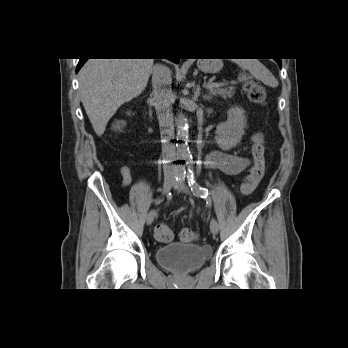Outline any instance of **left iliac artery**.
I'll return each mask as SVG.
<instances>
[{
    "label": "left iliac artery",
    "mask_w": 348,
    "mask_h": 348,
    "mask_svg": "<svg viewBox=\"0 0 348 348\" xmlns=\"http://www.w3.org/2000/svg\"><path fill=\"white\" fill-rule=\"evenodd\" d=\"M187 180L192 192L197 196L204 198V195L211 194V192L207 188L202 187L197 183L195 173L191 168H188ZM216 193H219V190H216Z\"/></svg>",
    "instance_id": "left-iliac-artery-1"
}]
</instances>
